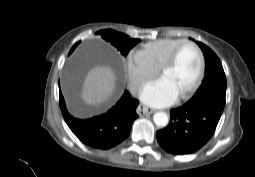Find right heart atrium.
Listing matches in <instances>:
<instances>
[{
    "label": "right heart atrium",
    "mask_w": 255,
    "mask_h": 177,
    "mask_svg": "<svg viewBox=\"0 0 255 177\" xmlns=\"http://www.w3.org/2000/svg\"><path fill=\"white\" fill-rule=\"evenodd\" d=\"M126 73L132 92L137 93L157 75L158 70L149 64L138 52L128 56Z\"/></svg>",
    "instance_id": "obj_1"
}]
</instances>
